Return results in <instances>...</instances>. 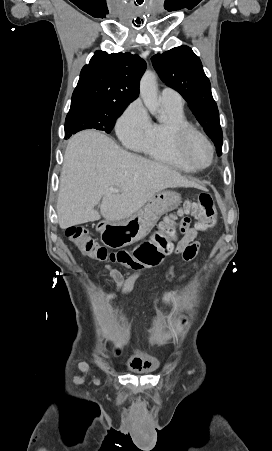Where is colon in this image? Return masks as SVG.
<instances>
[{
	"label": "colon",
	"instance_id": "5ec220e1",
	"mask_svg": "<svg viewBox=\"0 0 272 451\" xmlns=\"http://www.w3.org/2000/svg\"><path fill=\"white\" fill-rule=\"evenodd\" d=\"M191 205L197 219L196 230L204 234L212 232L217 218V208L213 196L208 193H200L194 198ZM65 237L80 248L82 256H94L98 262H106L110 258L122 266L136 270L160 265L174 248L173 230H155L153 239L142 242L132 251L122 250L116 253L111 252L110 249H104L94 242L87 235V229L81 225H69L65 230ZM182 328L183 320L177 325L178 331H182Z\"/></svg>",
	"mask_w": 272,
	"mask_h": 451
}]
</instances>
